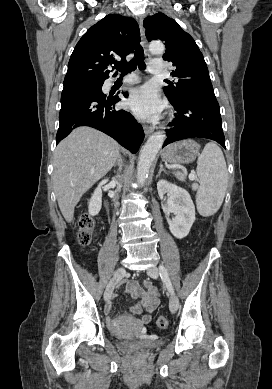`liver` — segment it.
Listing matches in <instances>:
<instances>
[{
	"label": "liver",
	"mask_w": 272,
	"mask_h": 389,
	"mask_svg": "<svg viewBox=\"0 0 272 389\" xmlns=\"http://www.w3.org/2000/svg\"><path fill=\"white\" fill-rule=\"evenodd\" d=\"M119 150L114 139L90 127L74 129L59 143L54 155V191L68 223L83 194L115 165Z\"/></svg>",
	"instance_id": "1"
}]
</instances>
